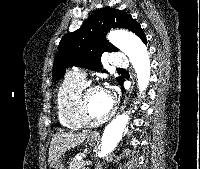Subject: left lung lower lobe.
I'll return each instance as SVG.
<instances>
[{"label": "left lung lower lobe", "mask_w": 200, "mask_h": 169, "mask_svg": "<svg viewBox=\"0 0 200 169\" xmlns=\"http://www.w3.org/2000/svg\"><path fill=\"white\" fill-rule=\"evenodd\" d=\"M146 41H147L146 39L143 40L144 43H146ZM122 84H123V80H122V82L120 83V85L122 86Z\"/></svg>", "instance_id": "0a47b994"}]
</instances>
